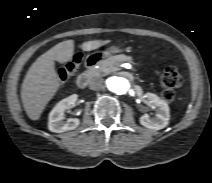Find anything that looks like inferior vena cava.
Returning a JSON list of instances; mask_svg holds the SVG:
<instances>
[{
	"instance_id": "602c4592",
	"label": "inferior vena cava",
	"mask_w": 212,
	"mask_h": 183,
	"mask_svg": "<svg viewBox=\"0 0 212 183\" xmlns=\"http://www.w3.org/2000/svg\"><path fill=\"white\" fill-rule=\"evenodd\" d=\"M103 87V80L99 77L91 79L89 83V88L91 90H100Z\"/></svg>"
}]
</instances>
